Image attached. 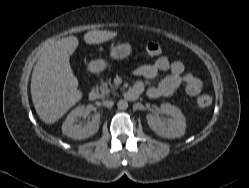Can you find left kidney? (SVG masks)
<instances>
[{"instance_id":"1","label":"left kidney","mask_w":249,"mask_h":188,"mask_svg":"<svg viewBox=\"0 0 249 188\" xmlns=\"http://www.w3.org/2000/svg\"><path fill=\"white\" fill-rule=\"evenodd\" d=\"M161 111L172 116L167 126L155 115H147L149 127L159 136L164 138H180L185 134L186 121L181 110L171 104H162Z\"/></svg>"}]
</instances>
